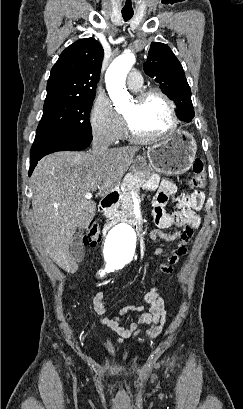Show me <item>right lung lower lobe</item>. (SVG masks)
Returning <instances> with one entry per match:
<instances>
[{
	"mask_svg": "<svg viewBox=\"0 0 243 409\" xmlns=\"http://www.w3.org/2000/svg\"><path fill=\"white\" fill-rule=\"evenodd\" d=\"M92 141L91 136L84 135H57L51 133H37L31 148L29 176H31L37 162L53 152L80 151L87 148Z\"/></svg>",
	"mask_w": 243,
	"mask_h": 409,
	"instance_id": "98d812e1",
	"label": "right lung lower lobe"
}]
</instances>
